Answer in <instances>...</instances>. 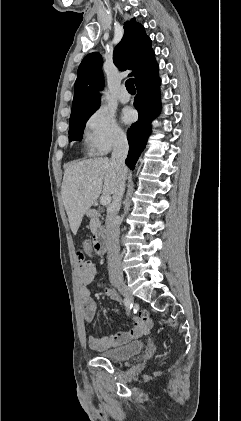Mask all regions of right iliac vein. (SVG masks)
Listing matches in <instances>:
<instances>
[{
	"instance_id": "63e3f726",
	"label": "right iliac vein",
	"mask_w": 241,
	"mask_h": 421,
	"mask_svg": "<svg viewBox=\"0 0 241 421\" xmlns=\"http://www.w3.org/2000/svg\"><path fill=\"white\" fill-rule=\"evenodd\" d=\"M112 284L115 288L128 300L133 301V296L131 294L130 289L127 287V285L124 283L122 279H114L112 281Z\"/></svg>"
}]
</instances>
